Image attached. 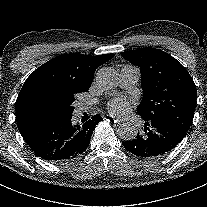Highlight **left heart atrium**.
<instances>
[{"instance_id":"39dd6f15","label":"left heart atrium","mask_w":207,"mask_h":207,"mask_svg":"<svg viewBox=\"0 0 207 207\" xmlns=\"http://www.w3.org/2000/svg\"><path fill=\"white\" fill-rule=\"evenodd\" d=\"M107 108L110 113L118 116H127L130 113V104L125 99L115 98L111 100Z\"/></svg>"}]
</instances>
